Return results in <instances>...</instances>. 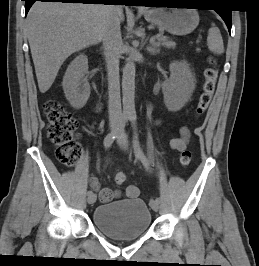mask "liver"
Wrapping results in <instances>:
<instances>
[{
	"label": "liver",
	"mask_w": 259,
	"mask_h": 266,
	"mask_svg": "<svg viewBox=\"0 0 259 266\" xmlns=\"http://www.w3.org/2000/svg\"><path fill=\"white\" fill-rule=\"evenodd\" d=\"M110 5L35 2L27 15V36L38 87L52 86L63 62L103 40ZM119 19L123 20V11Z\"/></svg>",
	"instance_id": "1"
}]
</instances>
